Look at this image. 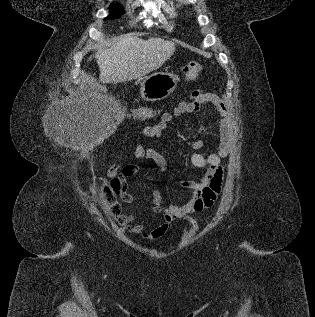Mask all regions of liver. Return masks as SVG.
<instances>
[{"instance_id":"obj_1","label":"liver","mask_w":315,"mask_h":317,"mask_svg":"<svg viewBox=\"0 0 315 317\" xmlns=\"http://www.w3.org/2000/svg\"><path fill=\"white\" fill-rule=\"evenodd\" d=\"M175 49V43L156 37L116 38L109 48H100L94 55L100 69L99 79L102 83L114 84L140 79L161 67ZM108 110L113 111L111 107Z\"/></svg>"}]
</instances>
